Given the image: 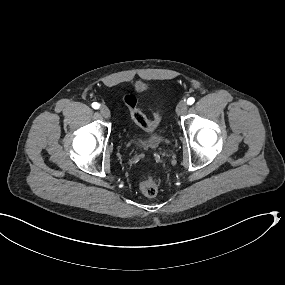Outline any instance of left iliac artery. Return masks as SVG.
Instances as JSON below:
<instances>
[{
    "label": "left iliac artery",
    "mask_w": 285,
    "mask_h": 285,
    "mask_svg": "<svg viewBox=\"0 0 285 285\" xmlns=\"http://www.w3.org/2000/svg\"><path fill=\"white\" fill-rule=\"evenodd\" d=\"M195 102V99L193 97L188 98L187 104L192 105Z\"/></svg>",
    "instance_id": "obj_1"
}]
</instances>
